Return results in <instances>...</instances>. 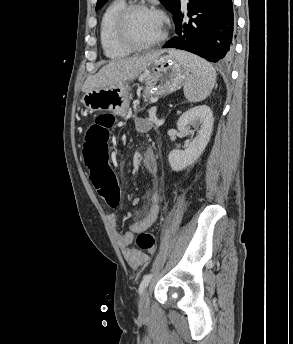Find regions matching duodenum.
<instances>
[{"label": "duodenum", "instance_id": "obj_1", "mask_svg": "<svg viewBox=\"0 0 293 344\" xmlns=\"http://www.w3.org/2000/svg\"><path fill=\"white\" fill-rule=\"evenodd\" d=\"M152 161V156L145 153L144 156H143V163L146 164V165H149Z\"/></svg>", "mask_w": 293, "mask_h": 344}]
</instances>
